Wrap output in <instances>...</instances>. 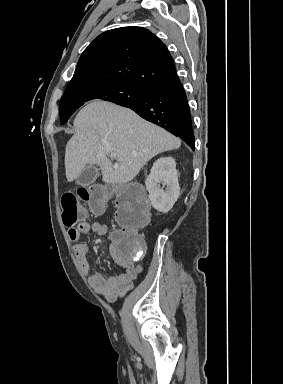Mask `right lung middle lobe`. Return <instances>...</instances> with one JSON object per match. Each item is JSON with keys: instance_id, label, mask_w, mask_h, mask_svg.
<instances>
[{"instance_id": "dd1d6c3e", "label": "right lung middle lobe", "mask_w": 283, "mask_h": 384, "mask_svg": "<svg viewBox=\"0 0 283 384\" xmlns=\"http://www.w3.org/2000/svg\"><path fill=\"white\" fill-rule=\"evenodd\" d=\"M147 89L125 82H105L66 89L60 100V121L64 124L85 102L100 99L123 104L144 97Z\"/></svg>"}]
</instances>
